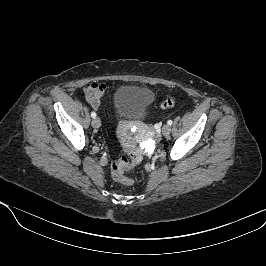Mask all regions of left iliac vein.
Segmentation results:
<instances>
[{"label":"left iliac vein","instance_id":"obj_1","mask_svg":"<svg viewBox=\"0 0 266 266\" xmlns=\"http://www.w3.org/2000/svg\"><path fill=\"white\" fill-rule=\"evenodd\" d=\"M171 132V127L168 125V124H165L163 127H162V134L164 136H168Z\"/></svg>","mask_w":266,"mask_h":266}]
</instances>
